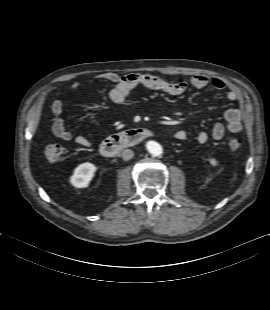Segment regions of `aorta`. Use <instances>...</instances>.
I'll return each mask as SVG.
<instances>
[{"label":"aorta","mask_w":270,"mask_h":310,"mask_svg":"<svg viewBox=\"0 0 270 310\" xmlns=\"http://www.w3.org/2000/svg\"><path fill=\"white\" fill-rule=\"evenodd\" d=\"M147 149L153 156H160L163 153L162 146L155 142V141H149L147 142Z\"/></svg>","instance_id":"762f6f07"}]
</instances>
